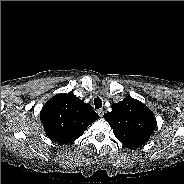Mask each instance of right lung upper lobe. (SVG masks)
<instances>
[{"label":"right lung upper lobe","mask_w":184,"mask_h":184,"mask_svg":"<svg viewBox=\"0 0 184 184\" xmlns=\"http://www.w3.org/2000/svg\"><path fill=\"white\" fill-rule=\"evenodd\" d=\"M99 115L72 93L57 94L42 107L40 119L47 136L68 144L78 139Z\"/></svg>","instance_id":"obj_1"}]
</instances>
